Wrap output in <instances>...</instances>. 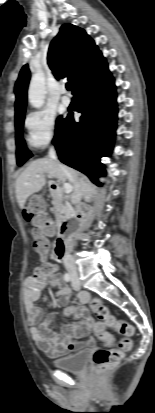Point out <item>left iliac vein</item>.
<instances>
[{
  "label": "left iliac vein",
  "mask_w": 155,
  "mask_h": 413,
  "mask_svg": "<svg viewBox=\"0 0 155 413\" xmlns=\"http://www.w3.org/2000/svg\"><path fill=\"white\" fill-rule=\"evenodd\" d=\"M72 287L76 291L80 290L81 288V284L77 276L72 277Z\"/></svg>",
  "instance_id": "obj_1"
}]
</instances>
